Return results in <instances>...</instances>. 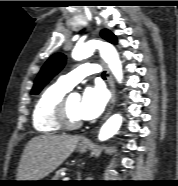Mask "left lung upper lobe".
Returning <instances> with one entry per match:
<instances>
[{
	"instance_id": "obj_1",
	"label": "left lung upper lobe",
	"mask_w": 178,
	"mask_h": 186,
	"mask_svg": "<svg viewBox=\"0 0 178 186\" xmlns=\"http://www.w3.org/2000/svg\"><path fill=\"white\" fill-rule=\"evenodd\" d=\"M101 36L111 43H117L116 37L109 30L105 29L101 31ZM66 62V56L62 53H56L52 55L47 62L41 68L34 86L32 88V94H38L42 88L64 67Z\"/></svg>"
}]
</instances>
